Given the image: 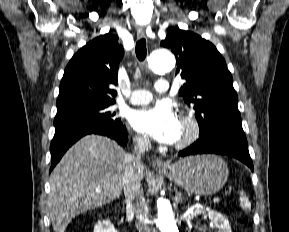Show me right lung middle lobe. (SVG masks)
Wrapping results in <instances>:
<instances>
[{"instance_id": "dd1d6c3e", "label": "right lung middle lobe", "mask_w": 289, "mask_h": 232, "mask_svg": "<svg viewBox=\"0 0 289 232\" xmlns=\"http://www.w3.org/2000/svg\"><path fill=\"white\" fill-rule=\"evenodd\" d=\"M114 103H77L57 109L55 130L73 126H110L121 124L115 112L109 110Z\"/></svg>"}]
</instances>
